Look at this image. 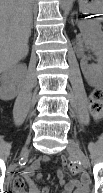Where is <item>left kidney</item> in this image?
<instances>
[{"instance_id": "1", "label": "left kidney", "mask_w": 103, "mask_h": 193, "mask_svg": "<svg viewBox=\"0 0 103 193\" xmlns=\"http://www.w3.org/2000/svg\"><path fill=\"white\" fill-rule=\"evenodd\" d=\"M86 44H89L94 55L97 57V64L96 65H88L86 61H82L80 63L81 70L83 72L84 77L88 81H96L102 80L103 78V45L102 41L92 40V41H85Z\"/></svg>"}]
</instances>
